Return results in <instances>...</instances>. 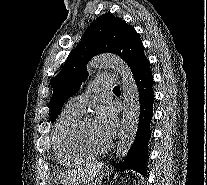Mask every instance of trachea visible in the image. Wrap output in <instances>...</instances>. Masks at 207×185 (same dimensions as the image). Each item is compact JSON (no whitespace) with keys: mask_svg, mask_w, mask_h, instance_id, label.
<instances>
[{"mask_svg":"<svg viewBox=\"0 0 207 185\" xmlns=\"http://www.w3.org/2000/svg\"><path fill=\"white\" fill-rule=\"evenodd\" d=\"M113 90H120V87L116 86V87L113 88Z\"/></svg>","mask_w":207,"mask_h":185,"instance_id":"1","label":"trachea"}]
</instances>
